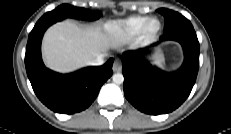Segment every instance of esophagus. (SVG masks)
<instances>
[{
    "mask_svg": "<svg viewBox=\"0 0 231 134\" xmlns=\"http://www.w3.org/2000/svg\"><path fill=\"white\" fill-rule=\"evenodd\" d=\"M122 70V64L119 60H116L113 64V71L120 72Z\"/></svg>",
    "mask_w": 231,
    "mask_h": 134,
    "instance_id": "obj_1",
    "label": "esophagus"
}]
</instances>
